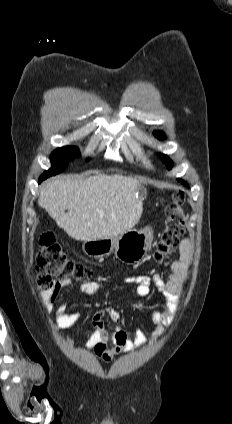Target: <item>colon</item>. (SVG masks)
I'll return each mask as SVG.
<instances>
[{
    "instance_id": "1",
    "label": "colon",
    "mask_w": 232,
    "mask_h": 424,
    "mask_svg": "<svg viewBox=\"0 0 232 424\" xmlns=\"http://www.w3.org/2000/svg\"><path fill=\"white\" fill-rule=\"evenodd\" d=\"M186 201L185 192L177 190L173 194L172 202L165 209V221L154 254L159 262L167 260L172 255L185 232ZM36 268L37 286L48 298L52 296L55 282L67 279H91L94 276L89 267L69 257L50 233H43L40 236Z\"/></svg>"
}]
</instances>
